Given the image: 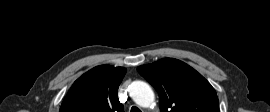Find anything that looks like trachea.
<instances>
[{"mask_svg":"<svg viewBox=\"0 0 270 112\" xmlns=\"http://www.w3.org/2000/svg\"><path fill=\"white\" fill-rule=\"evenodd\" d=\"M131 112H141V110H140L138 107L133 106V107L131 108Z\"/></svg>","mask_w":270,"mask_h":112,"instance_id":"trachea-1","label":"trachea"}]
</instances>
